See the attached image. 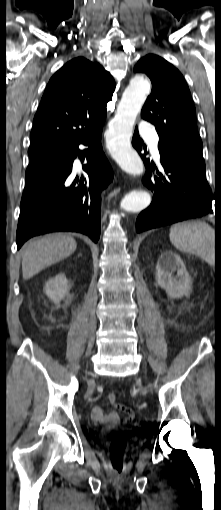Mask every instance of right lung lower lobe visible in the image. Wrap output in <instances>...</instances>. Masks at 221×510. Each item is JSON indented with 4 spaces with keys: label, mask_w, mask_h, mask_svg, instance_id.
I'll use <instances>...</instances> for the list:
<instances>
[{
    "label": "right lung lower lobe",
    "mask_w": 221,
    "mask_h": 510,
    "mask_svg": "<svg viewBox=\"0 0 221 510\" xmlns=\"http://www.w3.org/2000/svg\"><path fill=\"white\" fill-rule=\"evenodd\" d=\"M102 127L58 154L29 164L16 234L18 249L31 237L55 231L80 232L98 241L101 191L113 178L101 146ZM80 144L87 149L81 151ZM77 156L87 160L82 175L72 169Z\"/></svg>",
    "instance_id": "right-lung-lower-lobe-1"
}]
</instances>
